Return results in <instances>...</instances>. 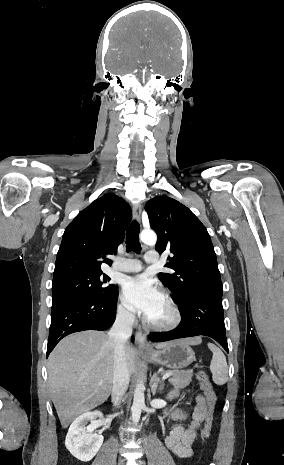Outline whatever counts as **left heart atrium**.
Wrapping results in <instances>:
<instances>
[{
  "label": "left heart atrium",
  "instance_id": "obj_1",
  "mask_svg": "<svg viewBox=\"0 0 284 465\" xmlns=\"http://www.w3.org/2000/svg\"><path fill=\"white\" fill-rule=\"evenodd\" d=\"M162 299L161 290L151 278L145 275L128 278L122 287L123 302L132 311L146 318L150 317Z\"/></svg>",
  "mask_w": 284,
  "mask_h": 465
}]
</instances>
